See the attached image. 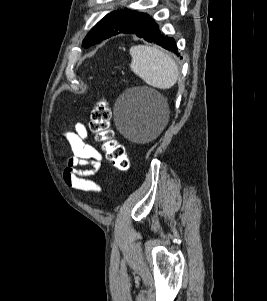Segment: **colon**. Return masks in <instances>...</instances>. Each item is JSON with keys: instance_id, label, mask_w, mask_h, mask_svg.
Here are the masks:
<instances>
[{"instance_id": "5ec220e1", "label": "colon", "mask_w": 267, "mask_h": 301, "mask_svg": "<svg viewBox=\"0 0 267 301\" xmlns=\"http://www.w3.org/2000/svg\"><path fill=\"white\" fill-rule=\"evenodd\" d=\"M110 119V108L104 100H100L91 110L89 128L94 133L96 141L101 144L108 161L117 169L127 171L130 168V160L123 145L115 139Z\"/></svg>"}]
</instances>
